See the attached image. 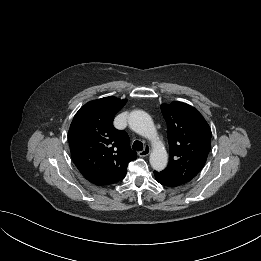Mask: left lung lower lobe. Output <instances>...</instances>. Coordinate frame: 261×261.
<instances>
[{
    "instance_id": "1",
    "label": "left lung lower lobe",
    "mask_w": 261,
    "mask_h": 261,
    "mask_svg": "<svg viewBox=\"0 0 261 261\" xmlns=\"http://www.w3.org/2000/svg\"><path fill=\"white\" fill-rule=\"evenodd\" d=\"M154 175L156 178V181L159 182L160 184L164 185V186H168V187H177L182 185L180 182L173 180L169 177H166L156 171H154Z\"/></svg>"
}]
</instances>
